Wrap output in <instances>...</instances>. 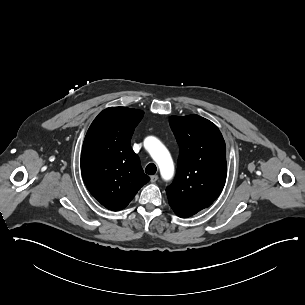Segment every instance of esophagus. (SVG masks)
I'll return each mask as SVG.
<instances>
[{"label":"esophagus","mask_w":305,"mask_h":305,"mask_svg":"<svg viewBox=\"0 0 305 305\" xmlns=\"http://www.w3.org/2000/svg\"><path fill=\"white\" fill-rule=\"evenodd\" d=\"M158 180V176L157 175H152L150 177V181L153 183V182H156Z\"/></svg>","instance_id":"1"}]
</instances>
